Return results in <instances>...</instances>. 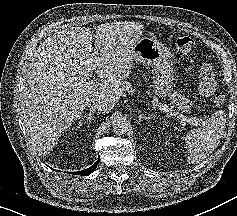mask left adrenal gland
Returning <instances> with one entry per match:
<instances>
[{"mask_svg":"<svg viewBox=\"0 0 237 216\" xmlns=\"http://www.w3.org/2000/svg\"><path fill=\"white\" fill-rule=\"evenodd\" d=\"M144 120H145V115H144V113H143L142 111H140V112H139V116H138L136 122H137L139 125H141V122L144 121Z\"/></svg>","mask_w":237,"mask_h":216,"instance_id":"obj_1","label":"left adrenal gland"}]
</instances>
